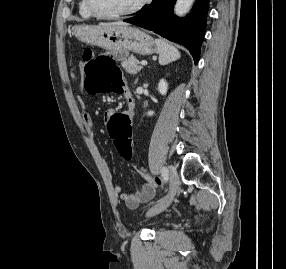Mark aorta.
Returning <instances> with one entry per match:
<instances>
[{
  "mask_svg": "<svg viewBox=\"0 0 286 269\" xmlns=\"http://www.w3.org/2000/svg\"><path fill=\"white\" fill-rule=\"evenodd\" d=\"M193 3L194 0H177L174 7L175 14L178 16H184L191 9Z\"/></svg>",
  "mask_w": 286,
  "mask_h": 269,
  "instance_id": "762f6f07",
  "label": "aorta"
}]
</instances>
